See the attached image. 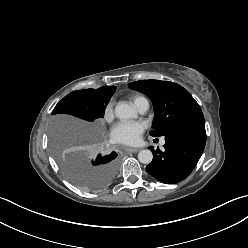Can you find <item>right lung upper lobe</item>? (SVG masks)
Masks as SVG:
<instances>
[{"label":"right lung upper lobe","instance_id":"obj_1","mask_svg":"<svg viewBox=\"0 0 248 248\" xmlns=\"http://www.w3.org/2000/svg\"><path fill=\"white\" fill-rule=\"evenodd\" d=\"M101 88H107V89H111V90H115L116 91V86H104V87H100Z\"/></svg>","mask_w":248,"mask_h":248}]
</instances>
